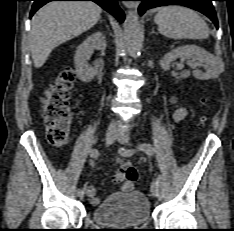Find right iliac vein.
<instances>
[{
  "label": "right iliac vein",
  "instance_id": "63e3f726",
  "mask_svg": "<svg viewBox=\"0 0 234 231\" xmlns=\"http://www.w3.org/2000/svg\"><path fill=\"white\" fill-rule=\"evenodd\" d=\"M118 135H119V133L115 129H109L106 132V137H105L106 145L107 146L111 145L117 139ZM77 195L80 197V199H83L84 192L77 193Z\"/></svg>",
  "mask_w": 234,
  "mask_h": 231
}]
</instances>
